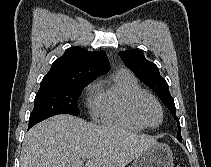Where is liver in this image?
<instances>
[{
	"instance_id": "6515ba94",
	"label": "liver",
	"mask_w": 211,
	"mask_h": 167,
	"mask_svg": "<svg viewBox=\"0 0 211 167\" xmlns=\"http://www.w3.org/2000/svg\"><path fill=\"white\" fill-rule=\"evenodd\" d=\"M155 144L147 135L57 115L26 133L20 167H125Z\"/></svg>"
}]
</instances>
